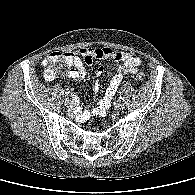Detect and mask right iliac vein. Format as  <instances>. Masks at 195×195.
Segmentation results:
<instances>
[{"mask_svg":"<svg viewBox=\"0 0 195 195\" xmlns=\"http://www.w3.org/2000/svg\"><path fill=\"white\" fill-rule=\"evenodd\" d=\"M64 105L67 106V107H71L73 105V102L71 101V99L66 98L64 100Z\"/></svg>","mask_w":195,"mask_h":195,"instance_id":"1","label":"right iliac vein"}]
</instances>
